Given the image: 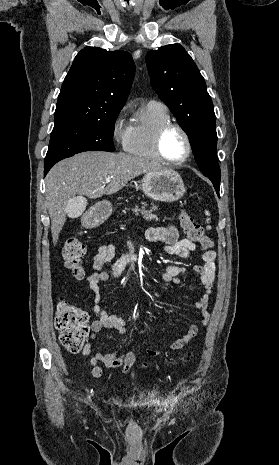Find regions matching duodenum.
I'll return each instance as SVG.
<instances>
[{
  "label": "duodenum",
  "mask_w": 279,
  "mask_h": 465,
  "mask_svg": "<svg viewBox=\"0 0 279 465\" xmlns=\"http://www.w3.org/2000/svg\"><path fill=\"white\" fill-rule=\"evenodd\" d=\"M139 259V256L136 253H126L121 256V258L118 260L115 271L116 275H118L121 270L125 267V265L129 262H134Z\"/></svg>",
  "instance_id": "1"
}]
</instances>
